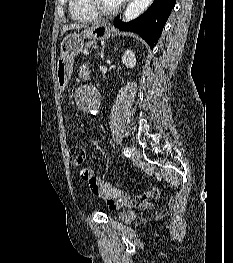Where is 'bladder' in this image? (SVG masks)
<instances>
[{
	"label": "bladder",
	"instance_id": "31cf9c89",
	"mask_svg": "<svg viewBox=\"0 0 233 263\" xmlns=\"http://www.w3.org/2000/svg\"><path fill=\"white\" fill-rule=\"evenodd\" d=\"M135 217V212L130 210H123L118 214V219L125 223L131 222L132 220H134Z\"/></svg>",
	"mask_w": 233,
	"mask_h": 263
}]
</instances>
